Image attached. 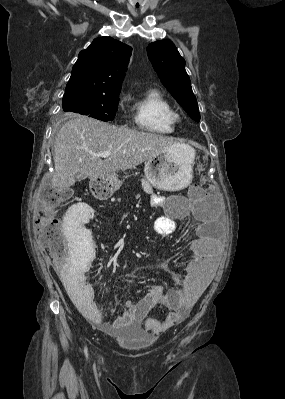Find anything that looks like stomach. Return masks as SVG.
Segmentation results:
<instances>
[{"label":"stomach","mask_w":285,"mask_h":399,"mask_svg":"<svg viewBox=\"0 0 285 399\" xmlns=\"http://www.w3.org/2000/svg\"><path fill=\"white\" fill-rule=\"evenodd\" d=\"M195 151L186 144L165 149L145 162V178L157 189L174 191L192 180ZM122 184L116 175L91 179V193L99 200L110 198Z\"/></svg>","instance_id":"0dacf381"}]
</instances>
